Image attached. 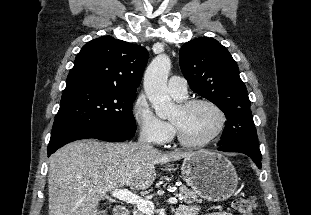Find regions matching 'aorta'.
<instances>
[{"instance_id": "1", "label": "aorta", "mask_w": 311, "mask_h": 215, "mask_svg": "<svg viewBox=\"0 0 311 215\" xmlns=\"http://www.w3.org/2000/svg\"><path fill=\"white\" fill-rule=\"evenodd\" d=\"M171 70V60L160 54L147 67L144 75V90L156 115L167 118L174 110V103L167 93V79Z\"/></svg>"}]
</instances>
